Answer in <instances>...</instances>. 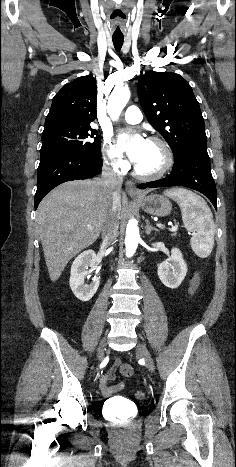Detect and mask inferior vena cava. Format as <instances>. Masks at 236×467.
<instances>
[{"label": "inferior vena cava", "instance_id": "1", "mask_svg": "<svg viewBox=\"0 0 236 467\" xmlns=\"http://www.w3.org/2000/svg\"><path fill=\"white\" fill-rule=\"evenodd\" d=\"M102 184L108 196L112 197L111 206L102 225V245H109L117 236L119 221L116 197L123 183V178L116 168L105 164L102 169Z\"/></svg>", "mask_w": 236, "mask_h": 467}]
</instances>
